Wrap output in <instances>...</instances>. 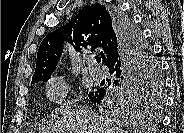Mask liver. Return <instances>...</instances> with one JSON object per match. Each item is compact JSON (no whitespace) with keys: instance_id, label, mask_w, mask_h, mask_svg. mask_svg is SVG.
Here are the masks:
<instances>
[{"instance_id":"6515ba94","label":"liver","mask_w":184,"mask_h":133,"mask_svg":"<svg viewBox=\"0 0 184 133\" xmlns=\"http://www.w3.org/2000/svg\"><path fill=\"white\" fill-rule=\"evenodd\" d=\"M61 114L62 120L48 127L46 133H124L123 129L113 126L107 117L98 115L87 107H67Z\"/></svg>"}]
</instances>
